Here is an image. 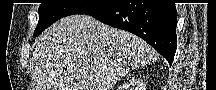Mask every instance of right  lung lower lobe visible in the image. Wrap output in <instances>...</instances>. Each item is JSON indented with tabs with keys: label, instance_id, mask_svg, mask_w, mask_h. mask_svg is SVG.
<instances>
[{
	"label": "right lung lower lobe",
	"instance_id": "1",
	"mask_svg": "<svg viewBox=\"0 0 216 90\" xmlns=\"http://www.w3.org/2000/svg\"><path fill=\"white\" fill-rule=\"evenodd\" d=\"M86 15L141 37L171 65L177 48V11L174 3L109 4Z\"/></svg>",
	"mask_w": 216,
	"mask_h": 90
}]
</instances>
